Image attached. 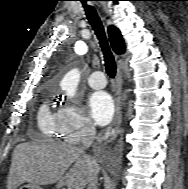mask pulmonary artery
I'll return each instance as SVG.
<instances>
[{"mask_svg": "<svg viewBox=\"0 0 188 189\" xmlns=\"http://www.w3.org/2000/svg\"><path fill=\"white\" fill-rule=\"evenodd\" d=\"M87 82L94 89H101L106 86V77L102 71H96L89 75Z\"/></svg>", "mask_w": 188, "mask_h": 189, "instance_id": "e3ab8cb5", "label": "pulmonary artery"}]
</instances>
